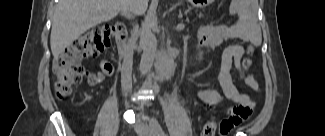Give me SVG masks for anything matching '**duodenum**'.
Here are the masks:
<instances>
[{"label": "duodenum", "instance_id": "1", "mask_svg": "<svg viewBox=\"0 0 325 136\" xmlns=\"http://www.w3.org/2000/svg\"><path fill=\"white\" fill-rule=\"evenodd\" d=\"M115 28L117 31L118 48L123 54H126L129 51L126 28L123 24H116Z\"/></svg>", "mask_w": 325, "mask_h": 136}]
</instances>
